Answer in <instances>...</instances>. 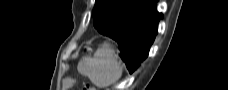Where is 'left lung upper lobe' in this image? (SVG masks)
I'll return each instance as SVG.
<instances>
[{
  "label": "left lung upper lobe",
  "instance_id": "1",
  "mask_svg": "<svg viewBox=\"0 0 228 90\" xmlns=\"http://www.w3.org/2000/svg\"><path fill=\"white\" fill-rule=\"evenodd\" d=\"M131 8L132 0H96L93 9L94 27L100 33L106 31L117 22L119 16Z\"/></svg>",
  "mask_w": 228,
  "mask_h": 90
}]
</instances>
